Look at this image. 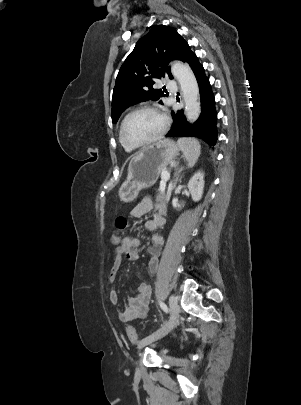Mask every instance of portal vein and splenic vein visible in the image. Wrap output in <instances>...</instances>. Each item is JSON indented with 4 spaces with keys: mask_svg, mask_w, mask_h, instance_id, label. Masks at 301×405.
I'll use <instances>...</instances> for the list:
<instances>
[{
    "mask_svg": "<svg viewBox=\"0 0 301 405\" xmlns=\"http://www.w3.org/2000/svg\"><path fill=\"white\" fill-rule=\"evenodd\" d=\"M161 179H162V182L165 183L166 181H168L170 179V174L167 171H163L161 173Z\"/></svg>",
    "mask_w": 301,
    "mask_h": 405,
    "instance_id": "obj_1",
    "label": "portal vein and splenic vein"
}]
</instances>
